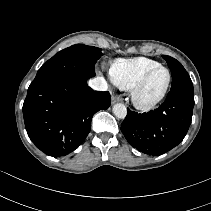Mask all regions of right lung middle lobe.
Masks as SVG:
<instances>
[{
	"label": "right lung middle lobe",
	"mask_w": 211,
	"mask_h": 211,
	"mask_svg": "<svg viewBox=\"0 0 211 211\" xmlns=\"http://www.w3.org/2000/svg\"><path fill=\"white\" fill-rule=\"evenodd\" d=\"M101 56L100 48L83 44L72 45L44 63L35 79L65 76L87 80L95 76V63Z\"/></svg>",
	"instance_id": "dd1d6c3e"
}]
</instances>
